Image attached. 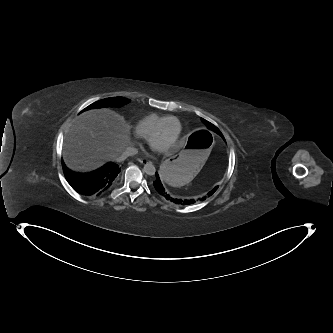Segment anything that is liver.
Returning <instances> with one entry per match:
<instances>
[{"label":"liver","mask_w":333,"mask_h":333,"mask_svg":"<svg viewBox=\"0 0 333 333\" xmlns=\"http://www.w3.org/2000/svg\"><path fill=\"white\" fill-rule=\"evenodd\" d=\"M130 127L110 109L82 113L69 126L64 143V161L79 172L97 169L114 161L130 142Z\"/></svg>","instance_id":"1"}]
</instances>
